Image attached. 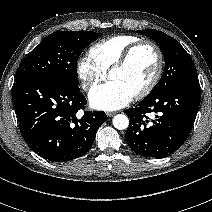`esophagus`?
<instances>
[{
  "label": "esophagus",
  "instance_id": "obj_1",
  "mask_svg": "<svg viewBox=\"0 0 212 212\" xmlns=\"http://www.w3.org/2000/svg\"><path fill=\"white\" fill-rule=\"evenodd\" d=\"M116 114V112H107L108 117H113Z\"/></svg>",
  "mask_w": 212,
  "mask_h": 212
}]
</instances>
